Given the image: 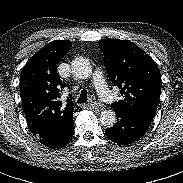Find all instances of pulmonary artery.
<instances>
[{"label":"pulmonary artery","mask_w":183,"mask_h":183,"mask_svg":"<svg viewBox=\"0 0 183 183\" xmlns=\"http://www.w3.org/2000/svg\"><path fill=\"white\" fill-rule=\"evenodd\" d=\"M93 83H94V86H95L99 96L104 101L110 102L113 100V94L108 89V87L105 83V80L103 79L102 73L99 70L95 71V73H94Z\"/></svg>","instance_id":"pulmonary-artery-1"}]
</instances>
